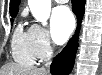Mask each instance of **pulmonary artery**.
Instances as JSON below:
<instances>
[{
	"mask_svg": "<svg viewBox=\"0 0 102 75\" xmlns=\"http://www.w3.org/2000/svg\"><path fill=\"white\" fill-rule=\"evenodd\" d=\"M68 0H58L57 2H59V3H65V2H67Z\"/></svg>",
	"mask_w": 102,
	"mask_h": 75,
	"instance_id": "1",
	"label": "pulmonary artery"
}]
</instances>
